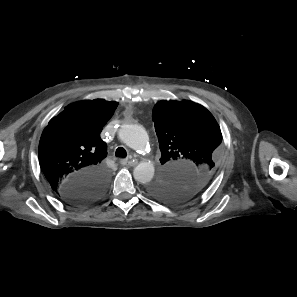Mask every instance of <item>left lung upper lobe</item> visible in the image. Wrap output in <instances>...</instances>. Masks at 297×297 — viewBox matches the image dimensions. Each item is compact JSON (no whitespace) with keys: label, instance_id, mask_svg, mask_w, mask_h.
<instances>
[{"label":"left lung upper lobe","instance_id":"5c2ea615","mask_svg":"<svg viewBox=\"0 0 297 297\" xmlns=\"http://www.w3.org/2000/svg\"><path fill=\"white\" fill-rule=\"evenodd\" d=\"M152 115L164 171L148 191L173 204L190 201L207 187L220 165V127L206 108L187 100H161Z\"/></svg>","mask_w":297,"mask_h":297}]
</instances>
